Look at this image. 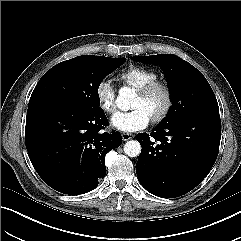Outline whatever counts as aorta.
<instances>
[{"label": "aorta", "instance_id": "1", "mask_svg": "<svg viewBox=\"0 0 241 241\" xmlns=\"http://www.w3.org/2000/svg\"><path fill=\"white\" fill-rule=\"evenodd\" d=\"M132 98V91L129 87H122L119 90L116 104L122 110H128L130 107V100ZM124 152L129 157H137L141 153V145L136 140L127 141L124 145Z\"/></svg>", "mask_w": 241, "mask_h": 241}]
</instances>
